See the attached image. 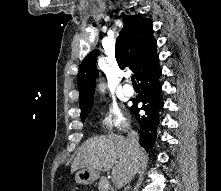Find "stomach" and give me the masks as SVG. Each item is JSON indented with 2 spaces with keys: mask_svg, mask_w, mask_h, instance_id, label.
Wrapping results in <instances>:
<instances>
[{
  "mask_svg": "<svg viewBox=\"0 0 221 191\" xmlns=\"http://www.w3.org/2000/svg\"><path fill=\"white\" fill-rule=\"evenodd\" d=\"M99 178V172L88 168H82L75 174V181L78 184L89 185Z\"/></svg>",
  "mask_w": 221,
  "mask_h": 191,
  "instance_id": "stomach-1",
  "label": "stomach"
}]
</instances>
